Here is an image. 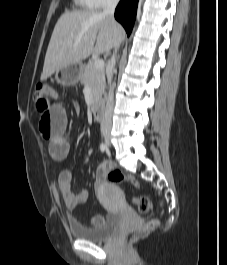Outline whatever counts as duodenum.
Segmentation results:
<instances>
[{"label": "duodenum", "mask_w": 227, "mask_h": 265, "mask_svg": "<svg viewBox=\"0 0 227 265\" xmlns=\"http://www.w3.org/2000/svg\"><path fill=\"white\" fill-rule=\"evenodd\" d=\"M104 112V106L101 102H97L93 105L92 114L96 120H102L104 117Z\"/></svg>", "instance_id": "obj_1"}]
</instances>
